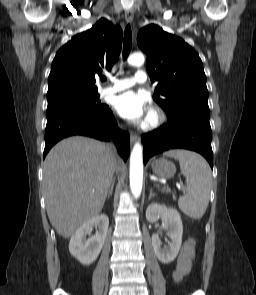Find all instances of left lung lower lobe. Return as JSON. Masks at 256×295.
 Wrapping results in <instances>:
<instances>
[{"label": "left lung lower lobe", "instance_id": "left-lung-lower-lobe-1", "mask_svg": "<svg viewBox=\"0 0 256 295\" xmlns=\"http://www.w3.org/2000/svg\"><path fill=\"white\" fill-rule=\"evenodd\" d=\"M144 163L170 149H189L203 155L213 168L209 118L183 114L142 136Z\"/></svg>", "mask_w": 256, "mask_h": 295}]
</instances>
